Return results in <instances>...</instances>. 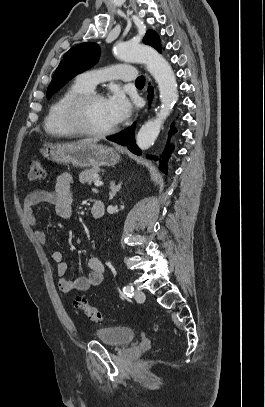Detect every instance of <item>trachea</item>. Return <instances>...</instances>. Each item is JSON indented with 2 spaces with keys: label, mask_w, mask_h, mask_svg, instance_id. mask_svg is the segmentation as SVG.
<instances>
[{
  "label": "trachea",
  "mask_w": 265,
  "mask_h": 407,
  "mask_svg": "<svg viewBox=\"0 0 265 407\" xmlns=\"http://www.w3.org/2000/svg\"><path fill=\"white\" fill-rule=\"evenodd\" d=\"M135 84H136V85H144V84H145V78H144V76H139V77L137 78V80L135 81Z\"/></svg>",
  "instance_id": "1"
}]
</instances>
